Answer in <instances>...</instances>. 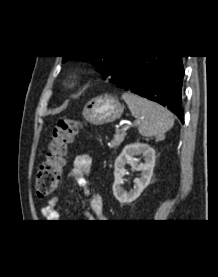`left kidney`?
<instances>
[{"mask_svg":"<svg viewBox=\"0 0 218 277\" xmlns=\"http://www.w3.org/2000/svg\"><path fill=\"white\" fill-rule=\"evenodd\" d=\"M135 155H142L144 163H139ZM155 150L147 144L134 143L124 147L114 164L113 194L120 203H131L136 200L143 190L149 185L155 166ZM129 163L136 171H141V177L134 179V189L126 192L122 185L126 173L125 165Z\"/></svg>","mask_w":218,"mask_h":277,"instance_id":"left-kidney-1","label":"left kidney"}]
</instances>
